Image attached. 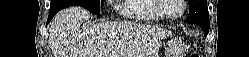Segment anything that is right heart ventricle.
I'll use <instances>...</instances> for the list:
<instances>
[{
	"instance_id": "1",
	"label": "right heart ventricle",
	"mask_w": 249,
	"mask_h": 57,
	"mask_svg": "<svg viewBox=\"0 0 249 57\" xmlns=\"http://www.w3.org/2000/svg\"><path fill=\"white\" fill-rule=\"evenodd\" d=\"M157 0H124L120 12L136 21H159L163 16L156 9Z\"/></svg>"
}]
</instances>
